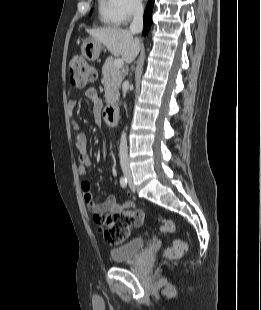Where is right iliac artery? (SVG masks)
<instances>
[{
  "label": "right iliac artery",
  "mask_w": 261,
  "mask_h": 310,
  "mask_svg": "<svg viewBox=\"0 0 261 310\" xmlns=\"http://www.w3.org/2000/svg\"><path fill=\"white\" fill-rule=\"evenodd\" d=\"M120 185H121L123 188H125V187L127 186V178H126V177L122 176V177L120 178Z\"/></svg>",
  "instance_id": "obj_1"
}]
</instances>
